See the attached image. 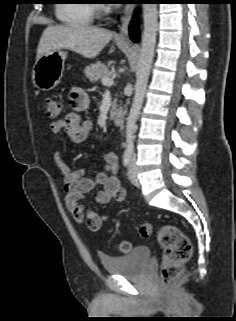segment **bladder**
Wrapping results in <instances>:
<instances>
[{
	"label": "bladder",
	"instance_id": "bladder-1",
	"mask_svg": "<svg viewBox=\"0 0 236 321\" xmlns=\"http://www.w3.org/2000/svg\"><path fill=\"white\" fill-rule=\"evenodd\" d=\"M150 248L137 246L131 252L121 256H102L100 258L106 272L125 278L141 277L150 260Z\"/></svg>",
	"mask_w": 236,
	"mask_h": 321
}]
</instances>
